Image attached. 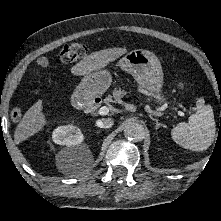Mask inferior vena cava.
I'll return each mask as SVG.
<instances>
[{
	"label": "inferior vena cava",
	"instance_id": "inferior-vena-cava-1",
	"mask_svg": "<svg viewBox=\"0 0 221 221\" xmlns=\"http://www.w3.org/2000/svg\"><path fill=\"white\" fill-rule=\"evenodd\" d=\"M113 120L110 118H103L96 122V125L100 128H110L113 125Z\"/></svg>",
	"mask_w": 221,
	"mask_h": 221
}]
</instances>
